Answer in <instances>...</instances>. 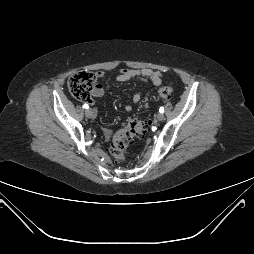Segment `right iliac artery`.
Instances as JSON below:
<instances>
[{
    "instance_id": "1",
    "label": "right iliac artery",
    "mask_w": 254,
    "mask_h": 254,
    "mask_svg": "<svg viewBox=\"0 0 254 254\" xmlns=\"http://www.w3.org/2000/svg\"><path fill=\"white\" fill-rule=\"evenodd\" d=\"M83 108H84V109H88L89 106H88L87 104H84V105H83Z\"/></svg>"
}]
</instances>
